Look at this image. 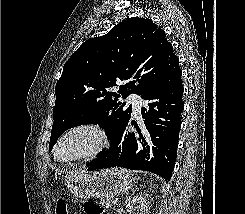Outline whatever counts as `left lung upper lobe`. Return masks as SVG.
<instances>
[{
	"label": "left lung upper lobe",
	"instance_id": "left-lung-upper-lobe-1",
	"mask_svg": "<svg viewBox=\"0 0 245 214\" xmlns=\"http://www.w3.org/2000/svg\"><path fill=\"white\" fill-rule=\"evenodd\" d=\"M178 63L165 32L151 19L128 18L85 41L56 83L49 151L63 132L91 123L105 130L111 145L131 117L132 106L120 100L150 91ZM119 80L126 84L115 90Z\"/></svg>",
	"mask_w": 245,
	"mask_h": 214
}]
</instances>
